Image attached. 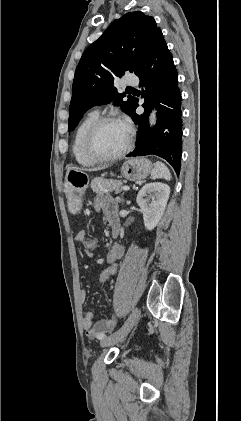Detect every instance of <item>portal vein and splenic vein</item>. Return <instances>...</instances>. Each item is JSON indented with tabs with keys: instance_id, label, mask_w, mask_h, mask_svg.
Returning a JSON list of instances; mask_svg holds the SVG:
<instances>
[{
	"instance_id": "obj_1",
	"label": "portal vein and splenic vein",
	"mask_w": 241,
	"mask_h": 421,
	"mask_svg": "<svg viewBox=\"0 0 241 421\" xmlns=\"http://www.w3.org/2000/svg\"><path fill=\"white\" fill-rule=\"evenodd\" d=\"M130 188L128 187V186H123L122 188H121V190H129Z\"/></svg>"
}]
</instances>
